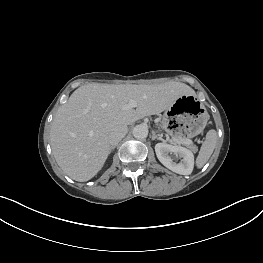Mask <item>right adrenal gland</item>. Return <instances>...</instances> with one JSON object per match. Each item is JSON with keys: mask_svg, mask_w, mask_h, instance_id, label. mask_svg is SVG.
Returning <instances> with one entry per match:
<instances>
[{"mask_svg": "<svg viewBox=\"0 0 263 263\" xmlns=\"http://www.w3.org/2000/svg\"><path fill=\"white\" fill-rule=\"evenodd\" d=\"M116 146L111 147V150H113Z\"/></svg>", "mask_w": 263, "mask_h": 263, "instance_id": "obj_1", "label": "right adrenal gland"}]
</instances>
